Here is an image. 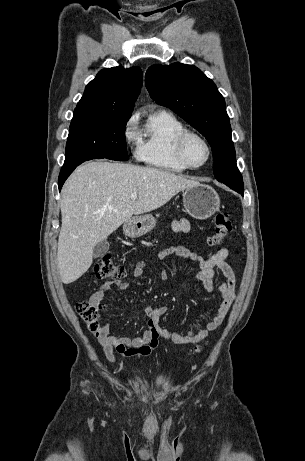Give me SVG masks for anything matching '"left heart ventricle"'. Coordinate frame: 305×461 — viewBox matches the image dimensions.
<instances>
[{"instance_id":"obj_1","label":"left heart ventricle","mask_w":305,"mask_h":461,"mask_svg":"<svg viewBox=\"0 0 305 461\" xmlns=\"http://www.w3.org/2000/svg\"><path fill=\"white\" fill-rule=\"evenodd\" d=\"M185 154L194 165L203 163L207 157V150L205 145L197 138L190 137L185 144Z\"/></svg>"}]
</instances>
